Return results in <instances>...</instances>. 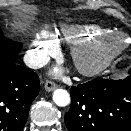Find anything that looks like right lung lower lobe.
<instances>
[{
	"instance_id": "98d812e1",
	"label": "right lung lower lobe",
	"mask_w": 131,
	"mask_h": 131,
	"mask_svg": "<svg viewBox=\"0 0 131 131\" xmlns=\"http://www.w3.org/2000/svg\"><path fill=\"white\" fill-rule=\"evenodd\" d=\"M39 90V77L35 72L0 56V131L23 130Z\"/></svg>"
}]
</instances>
